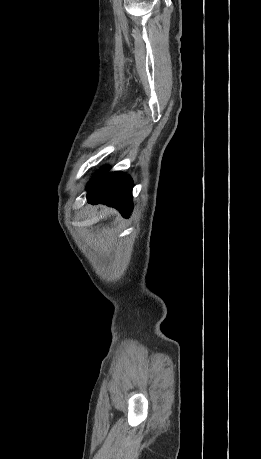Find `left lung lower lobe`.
<instances>
[{
  "mask_svg": "<svg viewBox=\"0 0 261 459\" xmlns=\"http://www.w3.org/2000/svg\"><path fill=\"white\" fill-rule=\"evenodd\" d=\"M88 188L89 203H103L118 209L124 217L130 215L133 183L129 176L119 172L110 173L103 179L95 176Z\"/></svg>",
  "mask_w": 261,
  "mask_h": 459,
  "instance_id": "obj_1",
  "label": "left lung lower lobe"
}]
</instances>
